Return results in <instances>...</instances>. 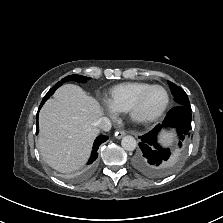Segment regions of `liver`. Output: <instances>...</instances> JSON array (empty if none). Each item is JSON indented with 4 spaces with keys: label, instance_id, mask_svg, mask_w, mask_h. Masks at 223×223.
Here are the masks:
<instances>
[{
    "label": "liver",
    "instance_id": "6515ba94",
    "mask_svg": "<svg viewBox=\"0 0 223 223\" xmlns=\"http://www.w3.org/2000/svg\"><path fill=\"white\" fill-rule=\"evenodd\" d=\"M99 102L77 85L65 84L39 113V150L53 169L69 173L88 160L99 133L94 123L103 115Z\"/></svg>",
    "mask_w": 223,
    "mask_h": 223
}]
</instances>
